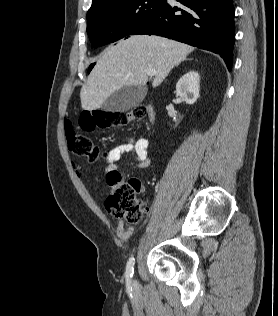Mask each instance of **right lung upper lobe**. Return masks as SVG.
I'll return each instance as SVG.
<instances>
[{
	"mask_svg": "<svg viewBox=\"0 0 278 316\" xmlns=\"http://www.w3.org/2000/svg\"><path fill=\"white\" fill-rule=\"evenodd\" d=\"M106 1H108V0H92L91 8L94 7V6H97L99 4H102V3L106 2Z\"/></svg>",
	"mask_w": 278,
	"mask_h": 316,
	"instance_id": "1",
	"label": "right lung upper lobe"
}]
</instances>
